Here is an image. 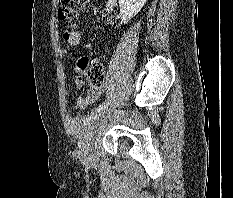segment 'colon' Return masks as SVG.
<instances>
[{"label": "colon", "mask_w": 233, "mask_h": 198, "mask_svg": "<svg viewBox=\"0 0 233 198\" xmlns=\"http://www.w3.org/2000/svg\"><path fill=\"white\" fill-rule=\"evenodd\" d=\"M90 0H59L58 18L64 23L63 37L70 45L80 42V33L75 26L79 9H86ZM80 59L78 64H83ZM86 80L91 87L101 86L104 70L100 64H94L86 73Z\"/></svg>", "instance_id": "5ec220e1"}]
</instances>
